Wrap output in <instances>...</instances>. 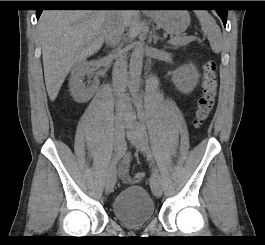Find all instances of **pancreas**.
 Wrapping results in <instances>:
<instances>
[{"label": "pancreas", "instance_id": "pancreas-1", "mask_svg": "<svg viewBox=\"0 0 265 245\" xmlns=\"http://www.w3.org/2000/svg\"><path fill=\"white\" fill-rule=\"evenodd\" d=\"M175 39L176 40L172 43V45H174L175 47L185 46L193 40L192 37H186V36H177L175 37Z\"/></svg>", "mask_w": 265, "mask_h": 245}]
</instances>
